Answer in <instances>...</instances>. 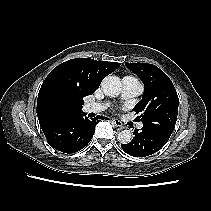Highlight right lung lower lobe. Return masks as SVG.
Segmentation results:
<instances>
[{
    "label": "right lung lower lobe",
    "instance_id": "obj_1",
    "mask_svg": "<svg viewBox=\"0 0 211 211\" xmlns=\"http://www.w3.org/2000/svg\"><path fill=\"white\" fill-rule=\"evenodd\" d=\"M83 115L81 111H65L40 125L49 145L64 153L84 148L94 135L97 119L106 118L97 116L90 120Z\"/></svg>",
    "mask_w": 211,
    "mask_h": 211
}]
</instances>
